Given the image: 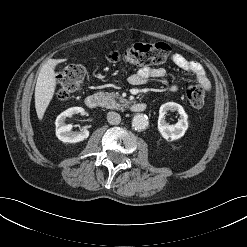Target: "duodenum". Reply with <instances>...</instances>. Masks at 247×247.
I'll return each mask as SVG.
<instances>
[{
	"instance_id": "410a0bca",
	"label": "duodenum",
	"mask_w": 247,
	"mask_h": 247,
	"mask_svg": "<svg viewBox=\"0 0 247 247\" xmlns=\"http://www.w3.org/2000/svg\"><path fill=\"white\" fill-rule=\"evenodd\" d=\"M85 104L88 108L96 109L100 107L101 100L97 95L91 94L85 98ZM131 109L134 112H143L146 109V104L143 102H135L132 104Z\"/></svg>"
}]
</instances>
